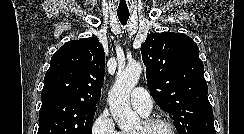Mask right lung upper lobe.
<instances>
[{
    "mask_svg": "<svg viewBox=\"0 0 244 134\" xmlns=\"http://www.w3.org/2000/svg\"><path fill=\"white\" fill-rule=\"evenodd\" d=\"M105 53L95 37L65 43L45 74L42 103L62 100L96 107L104 81Z\"/></svg>",
    "mask_w": 244,
    "mask_h": 134,
    "instance_id": "cb5924a9",
    "label": "right lung upper lobe"
}]
</instances>
